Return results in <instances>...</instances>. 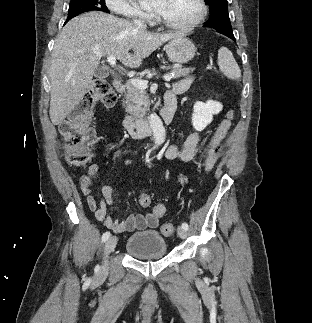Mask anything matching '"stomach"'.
<instances>
[{
	"mask_svg": "<svg viewBox=\"0 0 312 323\" xmlns=\"http://www.w3.org/2000/svg\"><path fill=\"white\" fill-rule=\"evenodd\" d=\"M166 54L170 62L175 64H187L189 60H192L195 56L196 48L192 40L180 36V38H174L167 46H165Z\"/></svg>",
	"mask_w": 312,
	"mask_h": 323,
	"instance_id": "1",
	"label": "stomach"
}]
</instances>
